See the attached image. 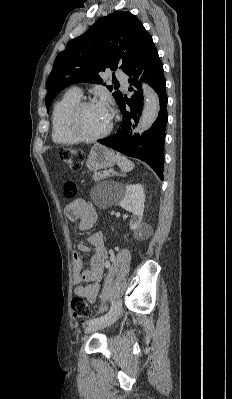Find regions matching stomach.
I'll use <instances>...</instances> for the list:
<instances>
[{
  "instance_id": "stomach-1",
  "label": "stomach",
  "mask_w": 232,
  "mask_h": 399,
  "mask_svg": "<svg viewBox=\"0 0 232 399\" xmlns=\"http://www.w3.org/2000/svg\"><path fill=\"white\" fill-rule=\"evenodd\" d=\"M116 164V156L112 150H108L101 144H95L90 150L86 166L91 172L103 170V168H112Z\"/></svg>"
}]
</instances>
